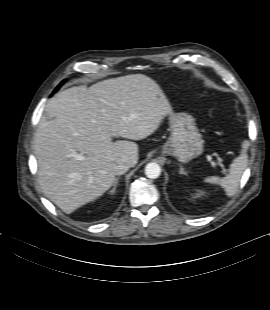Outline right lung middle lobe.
<instances>
[{
    "mask_svg": "<svg viewBox=\"0 0 270 310\" xmlns=\"http://www.w3.org/2000/svg\"><path fill=\"white\" fill-rule=\"evenodd\" d=\"M64 82H65V81H63V82L55 89L54 92H56V91L59 89V87H60Z\"/></svg>",
    "mask_w": 270,
    "mask_h": 310,
    "instance_id": "dd1d6c3e",
    "label": "right lung middle lobe"
}]
</instances>
